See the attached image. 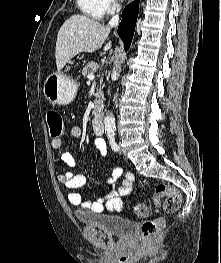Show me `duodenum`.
Masks as SVG:
<instances>
[{
	"label": "duodenum",
	"mask_w": 221,
	"mask_h": 263,
	"mask_svg": "<svg viewBox=\"0 0 221 263\" xmlns=\"http://www.w3.org/2000/svg\"><path fill=\"white\" fill-rule=\"evenodd\" d=\"M92 128L96 134H103L104 123H103V117L101 115H97L93 118Z\"/></svg>",
	"instance_id": "1"
}]
</instances>
